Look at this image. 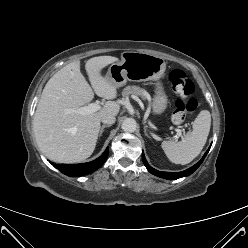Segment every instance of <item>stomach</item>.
Segmentation results:
<instances>
[{"label": "stomach", "mask_w": 248, "mask_h": 248, "mask_svg": "<svg viewBox=\"0 0 248 248\" xmlns=\"http://www.w3.org/2000/svg\"><path fill=\"white\" fill-rule=\"evenodd\" d=\"M166 70L163 58L156 55L136 51H125L118 63H113L105 76L114 86L122 87L127 81H155V96L152 110L155 115L163 113L168 104L167 96L160 82Z\"/></svg>", "instance_id": "obj_1"}]
</instances>
